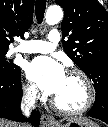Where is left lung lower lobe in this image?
<instances>
[{"label": "left lung lower lobe", "instance_id": "obj_1", "mask_svg": "<svg viewBox=\"0 0 108 127\" xmlns=\"http://www.w3.org/2000/svg\"><path fill=\"white\" fill-rule=\"evenodd\" d=\"M87 114L108 124V100H95L93 108Z\"/></svg>", "mask_w": 108, "mask_h": 127}]
</instances>
